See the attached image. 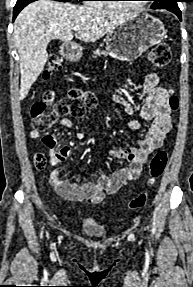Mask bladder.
<instances>
[{
	"mask_svg": "<svg viewBox=\"0 0 193 287\" xmlns=\"http://www.w3.org/2000/svg\"><path fill=\"white\" fill-rule=\"evenodd\" d=\"M80 231L90 238H103L106 234L105 227L92 217L81 219Z\"/></svg>",
	"mask_w": 193,
	"mask_h": 287,
	"instance_id": "bladder-1",
	"label": "bladder"
}]
</instances>
